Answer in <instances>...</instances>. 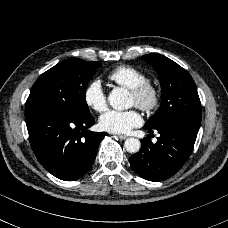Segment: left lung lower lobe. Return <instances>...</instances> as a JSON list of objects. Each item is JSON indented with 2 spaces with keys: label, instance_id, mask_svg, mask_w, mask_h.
<instances>
[{
  "label": "left lung lower lobe",
  "instance_id": "left-lung-lower-lobe-1",
  "mask_svg": "<svg viewBox=\"0 0 228 228\" xmlns=\"http://www.w3.org/2000/svg\"><path fill=\"white\" fill-rule=\"evenodd\" d=\"M199 127L200 124L186 120H172L160 124L155 128L160 134L157 142L153 144L148 137L141 139V150L129 158L132 169L149 181L170 178L190 156ZM147 130L153 133L152 129Z\"/></svg>",
  "mask_w": 228,
  "mask_h": 228
}]
</instances>
